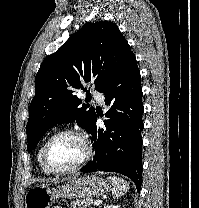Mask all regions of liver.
Instances as JSON below:
<instances>
[{"mask_svg":"<svg viewBox=\"0 0 199 208\" xmlns=\"http://www.w3.org/2000/svg\"><path fill=\"white\" fill-rule=\"evenodd\" d=\"M48 182L52 183V182H56V181H55V180H53V181H52V180H50V181H48Z\"/></svg>","mask_w":199,"mask_h":208,"instance_id":"obj_1","label":"liver"}]
</instances>
